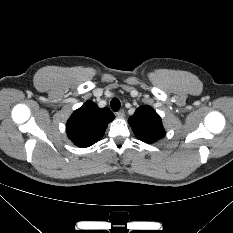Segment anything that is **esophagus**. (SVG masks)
Returning <instances> with one entry per match:
<instances>
[{"instance_id":"1","label":"esophagus","mask_w":233,"mask_h":233,"mask_svg":"<svg viewBox=\"0 0 233 233\" xmlns=\"http://www.w3.org/2000/svg\"><path fill=\"white\" fill-rule=\"evenodd\" d=\"M116 115L118 118H123L125 116V112H124V110H120L116 113Z\"/></svg>"}]
</instances>
